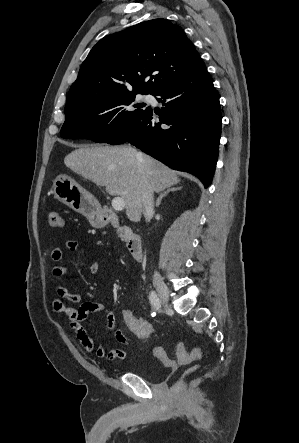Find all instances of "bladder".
<instances>
[{"mask_svg": "<svg viewBox=\"0 0 299 443\" xmlns=\"http://www.w3.org/2000/svg\"><path fill=\"white\" fill-rule=\"evenodd\" d=\"M131 369H132L131 372L141 376L146 380H154L157 378V375L153 373L151 370L136 367L133 363L131 365Z\"/></svg>", "mask_w": 299, "mask_h": 443, "instance_id": "1", "label": "bladder"}]
</instances>
